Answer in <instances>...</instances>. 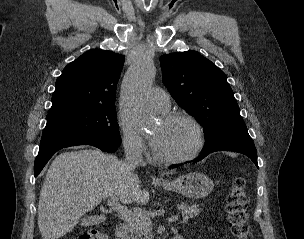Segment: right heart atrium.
<instances>
[{"instance_id": "obj_1", "label": "right heart atrium", "mask_w": 304, "mask_h": 239, "mask_svg": "<svg viewBox=\"0 0 304 239\" xmlns=\"http://www.w3.org/2000/svg\"><path fill=\"white\" fill-rule=\"evenodd\" d=\"M122 142L126 152L132 156L140 157L146 154L147 146L142 135L137 131L130 118L120 113L118 118Z\"/></svg>"}]
</instances>
